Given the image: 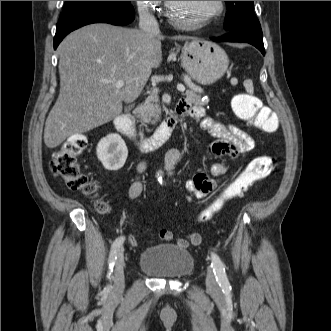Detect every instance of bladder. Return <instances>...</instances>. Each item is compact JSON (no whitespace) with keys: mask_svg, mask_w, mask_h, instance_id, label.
I'll return each instance as SVG.
<instances>
[{"mask_svg":"<svg viewBox=\"0 0 331 331\" xmlns=\"http://www.w3.org/2000/svg\"><path fill=\"white\" fill-rule=\"evenodd\" d=\"M138 267L154 278L180 279L192 273L194 258L189 249L165 243L145 248Z\"/></svg>","mask_w":331,"mask_h":331,"instance_id":"31cf9c89","label":"bladder"}]
</instances>
